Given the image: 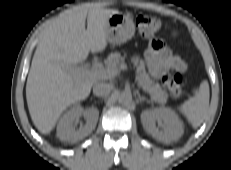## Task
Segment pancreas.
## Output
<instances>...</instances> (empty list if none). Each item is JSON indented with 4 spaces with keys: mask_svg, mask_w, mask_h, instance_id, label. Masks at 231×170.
<instances>
[{
    "mask_svg": "<svg viewBox=\"0 0 231 170\" xmlns=\"http://www.w3.org/2000/svg\"><path fill=\"white\" fill-rule=\"evenodd\" d=\"M125 56H122L120 52L111 53L106 62V69H114L119 71V67L124 63ZM132 62L136 67V81L138 85L147 93H149L151 100L160 104L166 103L168 94L162 90L159 83H155L150 79L148 73L146 72L145 64L143 61L139 60L138 57H132Z\"/></svg>",
    "mask_w": 231,
    "mask_h": 170,
    "instance_id": "obj_1",
    "label": "pancreas"
}]
</instances>
